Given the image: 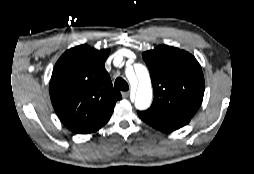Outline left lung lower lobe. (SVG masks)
Segmentation results:
<instances>
[{"mask_svg": "<svg viewBox=\"0 0 254 174\" xmlns=\"http://www.w3.org/2000/svg\"><path fill=\"white\" fill-rule=\"evenodd\" d=\"M138 115L144 122L163 132H172L177 130L188 124L190 121V118L175 117L163 114L153 109L138 111Z\"/></svg>", "mask_w": 254, "mask_h": 174, "instance_id": "1", "label": "left lung lower lobe"}]
</instances>
